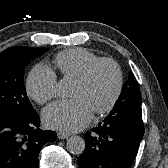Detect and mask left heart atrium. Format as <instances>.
<instances>
[{"label":"left heart atrium","mask_w":168,"mask_h":168,"mask_svg":"<svg viewBox=\"0 0 168 168\" xmlns=\"http://www.w3.org/2000/svg\"><path fill=\"white\" fill-rule=\"evenodd\" d=\"M93 116V109L82 97L59 100L43 112V121L51 129L74 132L87 126Z\"/></svg>","instance_id":"39dd6f15"}]
</instances>
